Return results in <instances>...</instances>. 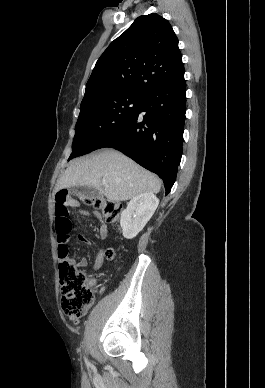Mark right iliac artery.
Segmentation results:
<instances>
[{
  "mask_svg": "<svg viewBox=\"0 0 265 388\" xmlns=\"http://www.w3.org/2000/svg\"><path fill=\"white\" fill-rule=\"evenodd\" d=\"M85 362H86V364H87V365H89V362L87 361V359H86V358H85Z\"/></svg>",
  "mask_w": 265,
  "mask_h": 388,
  "instance_id": "1",
  "label": "right iliac artery"
}]
</instances>
